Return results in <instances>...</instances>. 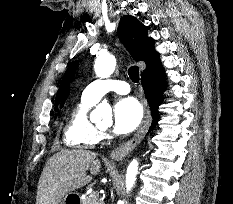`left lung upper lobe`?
<instances>
[{"instance_id":"left-lung-upper-lobe-1","label":"left lung upper lobe","mask_w":233,"mask_h":204,"mask_svg":"<svg viewBox=\"0 0 233 204\" xmlns=\"http://www.w3.org/2000/svg\"><path fill=\"white\" fill-rule=\"evenodd\" d=\"M65 99H66V97L64 98V100H63L62 103H61V108L63 107V104H64V102H65Z\"/></svg>"}]
</instances>
